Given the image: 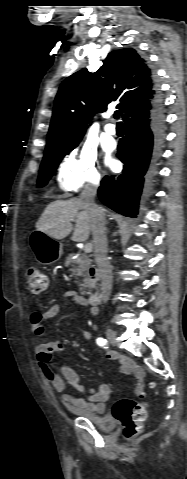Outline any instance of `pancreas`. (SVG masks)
<instances>
[{"instance_id":"obj_1","label":"pancreas","mask_w":187,"mask_h":479,"mask_svg":"<svg viewBox=\"0 0 187 479\" xmlns=\"http://www.w3.org/2000/svg\"><path fill=\"white\" fill-rule=\"evenodd\" d=\"M74 254H69V256L66 258L65 265L70 266L72 264H76L72 269L73 275L75 276H81L84 277L82 283L80 284V290H89V288L92 286L93 280L89 278L88 276H84V272H88L89 269L91 268V260L88 256L85 254H82L76 259H73Z\"/></svg>"}]
</instances>
